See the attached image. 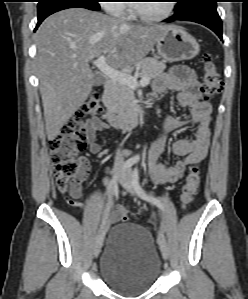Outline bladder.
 I'll return each instance as SVG.
<instances>
[{"mask_svg": "<svg viewBox=\"0 0 248 299\" xmlns=\"http://www.w3.org/2000/svg\"><path fill=\"white\" fill-rule=\"evenodd\" d=\"M101 279L124 295L149 290L161 273V261L150 232L134 223L115 225L100 259Z\"/></svg>", "mask_w": 248, "mask_h": 299, "instance_id": "1", "label": "bladder"}]
</instances>
